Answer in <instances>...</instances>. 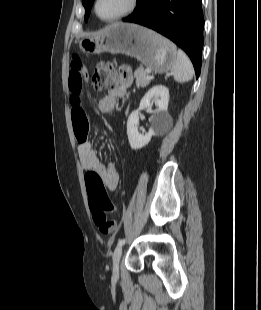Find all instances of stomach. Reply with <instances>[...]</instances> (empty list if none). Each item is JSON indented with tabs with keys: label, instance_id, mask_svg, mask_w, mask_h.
I'll return each mask as SVG.
<instances>
[{
	"label": "stomach",
	"instance_id": "stomach-1",
	"mask_svg": "<svg viewBox=\"0 0 261 310\" xmlns=\"http://www.w3.org/2000/svg\"><path fill=\"white\" fill-rule=\"evenodd\" d=\"M79 47L89 54L110 52L134 57L156 73L171 70L177 59L173 43L158 33L133 23L111 24L97 35L80 40Z\"/></svg>",
	"mask_w": 261,
	"mask_h": 310
}]
</instances>
